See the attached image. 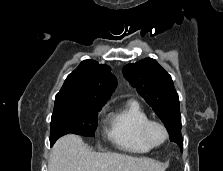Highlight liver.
Listing matches in <instances>:
<instances>
[{
  "label": "liver",
  "instance_id": "6515ba94",
  "mask_svg": "<svg viewBox=\"0 0 223 171\" xmlns=\"http://www.w3.org/2000/svg\"><path fill=\"white\" fill-rule=\"evenodd\" d=\"M166 167L149 158L92 152L73 134L56 141L48 163V171H164Z\"/></svg>",
  "mask_w": 223,
  "mask_h": 171
}]
</instances>
